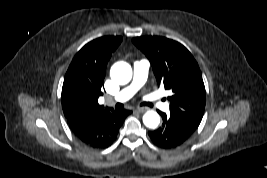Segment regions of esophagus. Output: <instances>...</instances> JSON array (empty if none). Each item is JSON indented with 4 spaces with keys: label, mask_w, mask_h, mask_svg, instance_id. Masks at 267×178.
Returning a JSON list of instances; mask_svg holds the SVG:
<instances>
[{
    "label": "esophagus",
    "mask_w": 267,
    "mask_h": 178,
    "mask_svg": "<svg viewBox=\"0 0 267 178\" xmlns=\"http://www.w3.org/2000/svg\"><path fill=\"white\" fill-rule=\"evenodd\" d=\"M147 110H148V108H146V107H137L136 108V111H138L140 113L146 112Z\"/></svg>",
    "instance_id": "esophagus-1"
}]
</instances>
